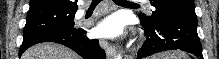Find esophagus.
<instances>
[{"instance_id": "1", "label": "esophagus", "mask_w": 219, "mask_h": 59, "mask_svg": "<svg viewBox=\"0 0 219 59\" xmlns=\"http://www.w3.org/2000/svg\"><path fill=\"white\" fill-rule=\"evenodd\" d=\"M101 43L105 47L107 59L113 58L116 54L115 48L106 41H102Z\"/></svg>"}]
</instances>
